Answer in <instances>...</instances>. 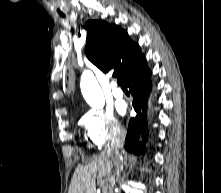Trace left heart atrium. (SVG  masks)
I'll return each instance as SVG.
<instances>
[{"label": "left heart atrium", "instance_id": "1", "mask_svg": "<svg viewBox=\"0 0 221 193\" xmlns=\"http://www.w3.org/2000/svg\"><path fill=\"white\" fill-rule=\"evenodd\" d=\"M120 112H121L122 114L125 113V106H122V107L120 108Z\"/></svg>", "mask_w": 221, "mask_h": 193}]
</instances>
